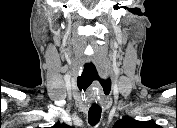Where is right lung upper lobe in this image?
I'll return each mask as SVG.
<instances>
[{
    "label": "right lung upper lobe",
    "instance_id": "right-lung-upper-lobe-1",
    "mask_svg": "<svg viewBox=\"0 0 177 128\" xmlns=\"http://www.w3.org/2000/svg\"><path fill=\"white\" fill-rule=\"evenodd\" d=\"M62 126H66V125H64V124H63V125H57V126H55V127H62Z\"/></svg>",
    "mask_w": 177,
    "mask_h": 128
}]
</instances>
